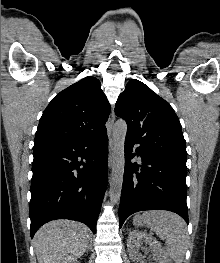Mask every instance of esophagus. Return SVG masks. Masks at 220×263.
<instances>
[{
    "mask_svg": "<svg viewBox=\"0 0 220 263\" xmlns=\"http://www.w3.org/2000/svg\"><path fill=\"white\" fill-rule=\"evenodd\" d=\"M113 121H114V116L111 122L113 123ZM112 163H113V146H112V141H110V154H109V159H108V164L110 168L112 166Z\"/></svg>",
    "mask_w": 220,
    "mask_h": 263,
    "instance_id": "obj_1",
    "label": "esophagus"
}]
</instances>
